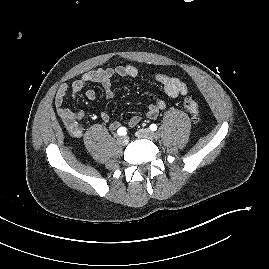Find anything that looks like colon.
<instances>
[{"label":"colon","instance_id":"obj_1","mask_svg":"<svg viewBox=\"0 0 269 269\" xmlns=\"http://www.w3.org/2000/svg\"><path fill=\"white\" fill-rule=\"evenodd\" d=\"M184 107L190 113L193 122L197 123L199 121V109L196 101L191 97H185Z\"/></svg>","mask_w":269,"mask_h":269}]
</instances>
